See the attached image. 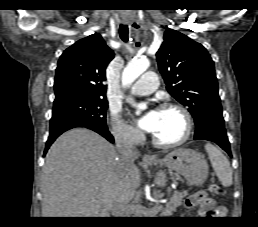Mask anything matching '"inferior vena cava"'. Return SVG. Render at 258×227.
Masks as SVG:
<instances>
[{"mask_svg":"<svg viewBox=\"0 0 258 227\" xmlns=\"http://www.w3.org/2000/svg\"><path fill=\"white\" fill-rule=\"evenodd\" d=\"M116 149L122 164L131 165L139 156L137 148L126 132L116 135Z\"/></svg>","mask_w":258,"mask_h":227,"instance_id":"inferior-vena-cava-1","label":"inferior vena cava"}]
</instances>
